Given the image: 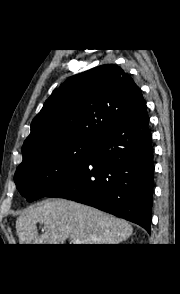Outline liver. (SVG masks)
<instances>
[{"label": "liver", "instance_id": "6515ba94", "mask_svg": "<svg viewBox=\"0 0 180 294\" xmlns=\"http://www.w3.org/2000/svg\"><path fill=\"white\" fill-rule=\"evenodd\" d=\"M44 225L39 235L36 224ZM20 244H119L133 233L132 226L110 214L65 199L47 200L25 209L16 220Z\"/></svg>", "mask_w": 180, "mask_h": 294}]
</instances>
